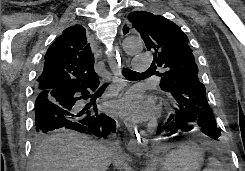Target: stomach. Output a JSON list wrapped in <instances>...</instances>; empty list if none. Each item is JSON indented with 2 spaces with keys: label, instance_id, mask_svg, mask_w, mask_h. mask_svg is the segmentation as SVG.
I'll return each mask as SVG.
<instances>
[{
  "label": "stomach",
  "instance_id": "1",
  "mask_svg": "<svg viewBox=\"0 0 245 171\" xmlns=\"http://www.w3.org/2000/svg\"><path fill=\"white\" fill-rule=\"evenodd\" d=\"M204 160V150L198 145H182L160 161L161 171H199Z\"/></svg>",
  "mask_w": 245,
  "mask_h": 171
}]
</instances>
